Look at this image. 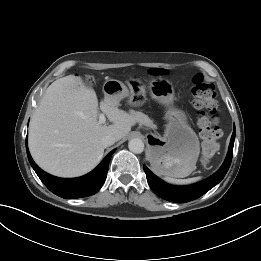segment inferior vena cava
<instances>
[{"label": "inferior vena cava", "mask_w": 261, "mask_h": 261, "mask_svg": "<svg viewBox=\"0 0 261 261\" xmlns=\"http://www.w3.org/2000/svg\"><path fill=\"white\" fill-rule=\"evenodd\" d=\"M115 142L116 138L113 135H105L101 138V143L105 148L113 145Z\"/></svg>", "instance_id": "602c4592"}]
</instances>
